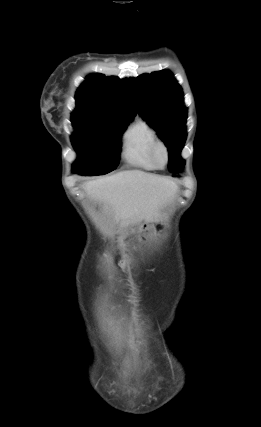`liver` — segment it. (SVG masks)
<instances>
[{
	"label": "liver",
	"mask_w": 261,
	"mask_h": 427,
	"mask_svg": "<svg viewBox=\"0 0 261 427\" xmlns=\"http://www.w3.org/2000/svg\"><path fill=\"white\" fill-rule=\"evenodd\" d=\"M84 187L91 198L111 208L122 226L156 220L178 190L174 181L139 170L119 171L87 181Z\"/></svg>",
	"instance_id": "liver-1"
}]
</instances>
